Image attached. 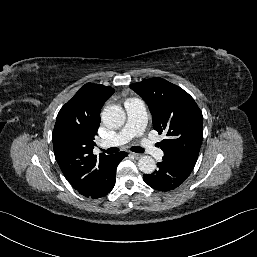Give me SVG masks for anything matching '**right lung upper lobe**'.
<instances>
[{"mask_svg": "<svg viewBox=\"0 0 257 257\" xmlns=\"http://www.w3.org/2000/svg\"><path fill=\"white\" fill-rule=\"evenodd\" d=\"M110 86L87 83L61 108L52 133L54 154L64 176L81 194L98 183L109 156L93 154L100 112L113 95Z\"/></svg>", "mask_w": 257, "mask_h": 257, "instance_id": "right-lung-upper-lobe-1", "label": "right lung upper lobe"}]
</instances>
